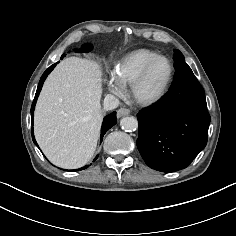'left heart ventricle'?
Segmentation results:
<instances>
[{"label":"left heart ventricle","instance_id":"left-heart-ventricle-1","mask_svg":"<svg viewBox=\"0 0 236 236\" xmlns=\"http://www.w3.org/2000/svg\"><path fill=\"white\" fill-rule=\"evenodd\" d=\"M169 76V64L166 60H159L148 73L141 86V93L146 96L158 94L164 87Z\"/></svg>","mask_w":236,"mask_h":236}]
</instances>
